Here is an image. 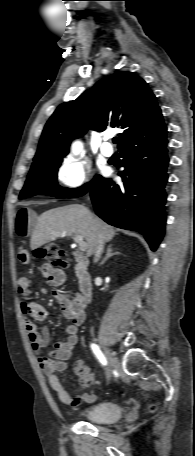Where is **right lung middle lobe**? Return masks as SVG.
Masks as SVG:
<instances>
[{
    "label": "right lung middle lobe",
    "mask_w": 195,
    "mask_h": 456,
    "mask_svg": "<svg viewBox=\"0 0 195 456\" xmlns=\"http://www.w3.org/2000/svg\"><path fill=\"white\" fill-rule=\"evenodd\" d=\"M62 158L49 160L33 165L21 191L20 199L35 195H48L57 198H76L84 195L101 179L96 175L92 183H87L76 189L62 188L57 184V171Z\"/></svg>",
    "instance_id": "dd1d6c3e"
}]
</instances>
